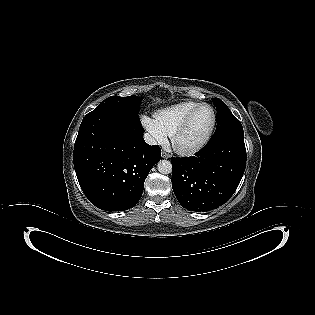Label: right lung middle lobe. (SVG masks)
Here are the masks:
<instances>
[{
    "label": "right lung middle lobe",
    "instance_id": "dd1d6c3e",
    "mask_svg": "<svg viewBox=\"0 0 315 315\" xmlns=\"http://www.w3.org/2000/svg\"><path fill=\"white\" fill-rule=\"evenodd\" d=\"M139 106L140 98L138 96H110L103 100L96 109H111L123 115L138 117Z\"/></svg>",
    "mask_w": 315,
    "mask_h": 315
}]
</instances>
